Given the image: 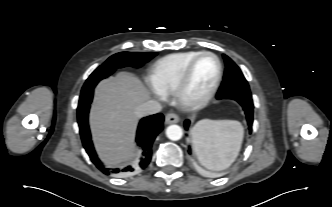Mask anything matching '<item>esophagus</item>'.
<instances>
[{"instance_id": "34e87169", "label": "esophagus", "mask_w": 332, "mask_h": 207, "mask_svg": "<svg viewBox=\"0 0 332 207\" xmlns=\"http://www.w3.org/2000/svg\"><path fill=\"white\" fill-rule=\"evenodd\" d=\"M179 121V116L175 113H168L165 117L166 124H173Z\"/></svg>"}]
</instances>
